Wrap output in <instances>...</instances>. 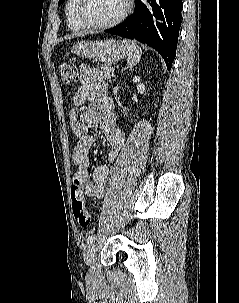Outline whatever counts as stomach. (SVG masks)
I'll return each instance as SVG.
<instances>
[{
	"mask_svg": "<svg viewBox=\"0 0 239 303\" xmlns=\"http://www.w3.org/2000/svg\"><path fill=\"white\" fill-rule=\"evenodd\" d=\"M72 52L80 57L107 64L116 63L128 55L125 44L113 39L81 41L72 47Z\"/></svg>",
	"mask_w": 239,
	"mask_h": 303,
	"instance_id": "obj_1",
	"label": "stomach"
}]
</instances>
